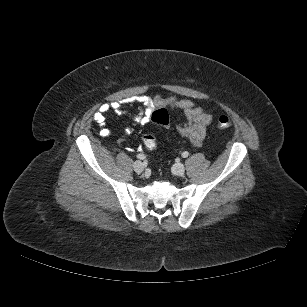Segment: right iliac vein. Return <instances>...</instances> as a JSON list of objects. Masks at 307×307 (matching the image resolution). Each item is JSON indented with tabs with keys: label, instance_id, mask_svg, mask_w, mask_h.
I'll return each mask as SVG.
<instances>
[{
	"label": "right iliac vein",
	"instance_id": "63e3f726",
	"mask_svg": "<svg viewBox=\"0 0 307 307\" xmlns=\"http://www.w3.org/2000/svg\"><path fill=\"white\" fill-rule=\"evenodd\" d=\"M133 168L135 172L141 173L144 170L145 166L141 161H136L133 164Z\"/></svg>",
	"mask_w": 307,
	"mask_h": 307
}]
</instances>
